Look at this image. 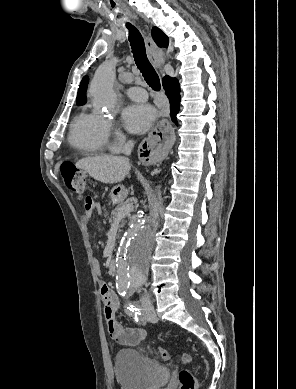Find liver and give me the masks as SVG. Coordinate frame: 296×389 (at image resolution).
<instances>
[{"label":"liver","mask_w":296,"mask_h":389,"mask_svg":"<svg viewBox=\"0 0 296 389\" xmlns=\"http://www.w3.org/2000/svg\"><path fill=\"white\" fill-rule=\"evenodd\" d=\"M75 166L105 184L123 181L131 169L129 159L108 155L85 157L77 161Z\"/></svg>","instance_id":"liver-1"}]
</instances>
